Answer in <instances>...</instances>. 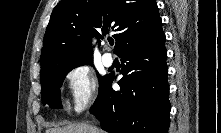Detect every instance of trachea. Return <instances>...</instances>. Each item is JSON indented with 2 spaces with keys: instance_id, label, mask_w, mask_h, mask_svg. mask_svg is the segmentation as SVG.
<instances>
[{
  "instance_id": "3493384b",
  "label": "trachea",
  "mask_w": 221,
  "mask_h": 133,
  "mask_svg": "<svg viewBox=\"0 0 221 133\" xmlns=\"http://www.w3.org/2000/svg\"><path fill=\"white\" fill-rule=\"evenodd\" d=\"M109 43H110L111 46L114 45V41L113 40H109Z\"/></svg>"
}]
</instances>
